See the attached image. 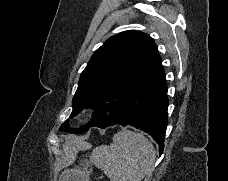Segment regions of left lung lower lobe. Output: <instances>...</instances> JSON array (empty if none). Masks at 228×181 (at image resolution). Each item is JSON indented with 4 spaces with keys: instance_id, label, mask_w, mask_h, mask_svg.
<instances>
[{
    "instance_id": "obj_1",
    "label": "left lung lower lobe",
    "mask_w": 228,
    "mask_h": 181,
    "mask_svg": "<svg viewBox=\"0 0 228 181\" xmlns=\"http://www.w3.org/2000/svg\"><path fill=\"white\" fill-rule=\"evenodd\" d=\"M167 110V85L160 59L139 81L122 118L113 125H130L147 132L159 145L161 155L168 125Z\"/></svg>"
}]
</instances>
